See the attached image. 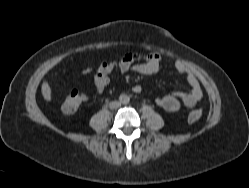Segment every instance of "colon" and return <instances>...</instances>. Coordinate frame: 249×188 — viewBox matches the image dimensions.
Listing matches in <instances>:
<instances>
[{"label": "colon", "instance_id": "obj_1", "mask_svg": "<svg viewBox=\"0 0 249 188\" xmlns=\"http://www.w3.org/2000/svg\"><path fill=\"white\" fill-rule=\"evenodd\" d=\"M87 101V96L79 91H71L65 98L63 103V111L66 113L73 112ZM203 114L202 109L198 108L191 111L188 115V121L190 123L196 122L201 118Z\"/></svg>", "mask_w": 249, "mask_h": 188}]
</instances>
